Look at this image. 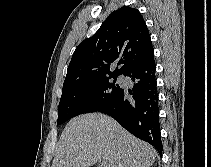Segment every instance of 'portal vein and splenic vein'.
I'll return each instance as SVG.
<instances>
[{
	"label": "portal vein and splenic vein",
	"instance_id": "1",
	"mask_svg": "<svg viewBox=\"0 0 211 167\" xmlns=\"http://www.w3.org/2000/svg\"><path fill=\"white\" fill-rule=\"evenodd\" d=\"M100 167H108V163L106 161H100Z\"/></svg>",
	"mask_w": 211,
	"mask_h": 167
}]
</instances>
